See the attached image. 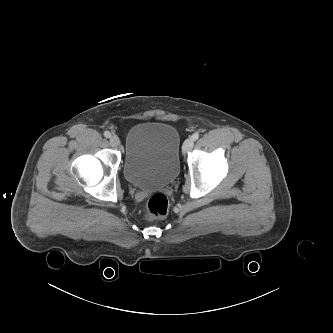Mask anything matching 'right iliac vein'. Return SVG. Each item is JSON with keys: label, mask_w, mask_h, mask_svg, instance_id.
Listing matches in <instances>:
<instances>
[{"label": "right iliac vein", "mask_w": 333, "mask_h": 333, "mask_svg": "<svg viewBox=\"0 0 333 333\" xmlns=\"http://www.w3.org/2000/svg\"><path fill=\"white\" fill-rule=\"evenodd\" d=\"M109 142H110V145L113 147L120 146V139L116 135L111 136Z\"/></svg>", "instance_id": "63e3f726"}]
</instances>
